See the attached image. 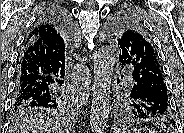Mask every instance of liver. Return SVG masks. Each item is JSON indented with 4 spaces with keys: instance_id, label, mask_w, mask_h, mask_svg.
<instances>
[{
    "instance_id": "liver-1",
    "label": "liver",
    "mask_w": 184,
    "mask_h": 133,
    "mask_svg": "<svg viewBox=\"0 0 184 133\" xmlns=\"http://www.w3.org/2000/svg\"><path fill=\"white\" fill-rule=\"evenodd\" d=\"M10 133H64V130L54 119L37 115L26 118L21 124H16Z\"/></svg>"
}]
</instances>
